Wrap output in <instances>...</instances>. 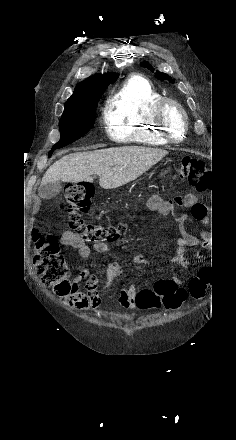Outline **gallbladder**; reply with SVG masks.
Masks as SVG:
<instances>
[{
    "label": "gallbladder",
    "mask_w": 236,
    "mask_h": 440,
    "mask_svg": "<svg viewBox=\"0 0 236 440\" xmlns=\"http://www.w3.org/2000/svg\"><path fill=\"white\" fill-rule=\"evenodd\" d=\"M62 186L60 182H51L45 185L40 186L39 188V196L42 199L49 200L53 197L57 196L60 192Z\"/></svg>",
    "instance_id": "bac80fb5"
}]
</instances>
